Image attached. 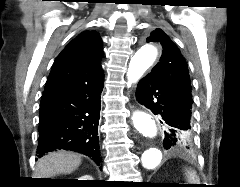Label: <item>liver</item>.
Listing matches in <instances>:
<instances>
[{
	"instance_id": "obj_1",
	"label": "liver",
	"mask_w": 240,
	"mask_h": 187,
	"mask_svg": "<svg viewBox=\"0 0 240 187\" xmlns=\"http://www.w3.org/2000/svg\"><path fill=\"white\" fill-rule=\"evenodd\" d=\"M81 156L77 153L58 150L50 152L36 163L35 178H49L57 174H69L79 167Z\"/></svg>"
}]
</instances>
